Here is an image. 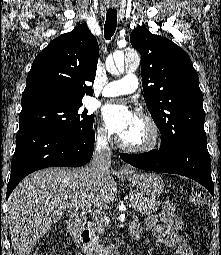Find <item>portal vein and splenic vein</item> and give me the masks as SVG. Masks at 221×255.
Returning a JSON list of instances; mask_svg holds the SVG:
<instances>
[{"label":"portal vein and splenic vein","instance_id":"portal-vein-and-splenic-vein-1","mask_svg":"<svg viewBox=\"0 0 221 255\" xmlns=\"http://www.w3.org/2000/svg\"><path fill=\"white\" fill-rule=\"evenodd\" d=\"M75 209H78V208H80V206H77V205H75V206H73ZM135 207V204L134 203H130L129 204V208H134Z\"/></svg>","mask_w":221,"mask_h":255}]
</instances>
